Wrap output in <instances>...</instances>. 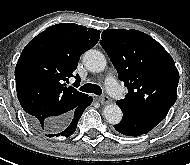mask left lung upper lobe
Instances as JSON below:
<instances>
[{"label": "left lung upper lobe", "instance_id": "5c2ea615", "mask_svg": "<svg viewBox=\"0 0 190 165\" xmlns=\"http://www.w3.org/2000/svg\"><path fill=\"white\" fill-rule=\"evenodd\" d=\"M101 46L128 93L117 105L166 116L177 98L179 73L170 54L138 30H104Z\"/></svg>", "mask_w": 190, "mask_h": 165}]
</instances>
